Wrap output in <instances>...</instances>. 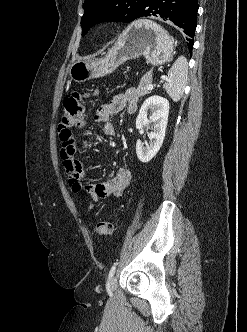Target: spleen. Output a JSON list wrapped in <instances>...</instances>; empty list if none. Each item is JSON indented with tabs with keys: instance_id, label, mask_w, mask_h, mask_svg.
Here are the masks:
<instances>
[{
	"instance_id": "obj_1",
	"label": "spleen",
	"mask_w": 247,
	"mask_h": 332,
	"mask_svg": "<svg viewBox=\"0 0 247 332\" xmlns=\"http://www.w3.org/2000/svg\"><path fill=\"white\" fill-rule=\"evenodd\" d=\"M188 66L184 56L178 57L168 72V79L163 87L171 99L179 101L184 93L187 83Z\"/></svg>"
}]
</instances>
